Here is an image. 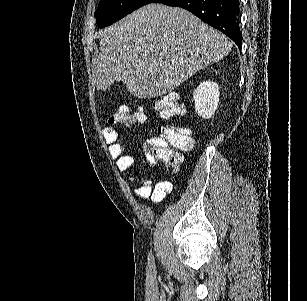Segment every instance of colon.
Instances as JSON below:
<instances>
[{"instance_id": "1", "label": "colon", "mask_w": 307, "mask_h": 301, "mask_svg": "<svg viewBox=\"0 0 307 301\" xmlns=\"http://www.w3.org/2000/svg\"><path fill=\"white\" fill-rule=\"evenodd\" d=\"M155 109L164 119L182 116L184 106L175 93H167L155 102ZM146 120L142 110L129 114L124 107H120L108 120L110 125L126 124L129 127H139ZM158 142L152 145V151L166 168L176 172L181 164V155L178 150H188L193 146L190 130L182 126H160L158 129Z\"/></svg>"}]
</instances>
